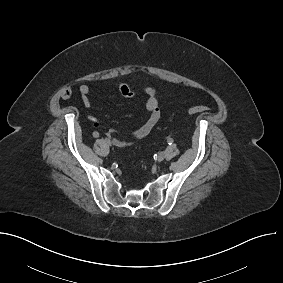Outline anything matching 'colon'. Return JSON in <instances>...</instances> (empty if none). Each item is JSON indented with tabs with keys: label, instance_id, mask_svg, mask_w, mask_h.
Segmentation results:
<instances>
[{
	"label": "colon",
	"instance_id": "colon-1",
	"mask_svg": "<svg viewBox=\"0 0 283 283\" xmlns=\"http://www.w3.org/2000/svg\"><path fill=\"white\" fill-rule=\"evenodd\" d=\"M61 96L63 99H69L70 96H71V90L66 88L62 91L61 93ZM208 109L207 105L205 104H200V105H197V106H193L191 107L188 112L190 114H198V113H201V112H204Z\"/></svg>",
	"mask_w": 283,
	"mask_h": 283
}]
</instances>
